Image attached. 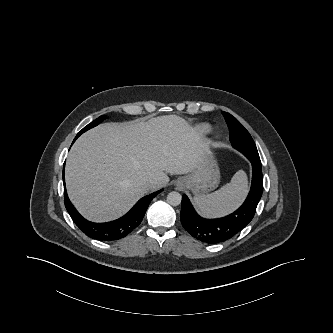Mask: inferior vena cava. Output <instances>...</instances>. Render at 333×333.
I'll use <instances>...</instances> for the list:
<instances>
[{
    "label": "inferior vena cava",
    "instance_id": "1",
    "mask_svg": "<svg viewBox=\"0 0 333 333\" xmlns=\"http://www.w3.org/2000/svg\"><path fill=\"white\" fill-rule=\"evenodd\" d=\"M148 183H149L150 185H154V184L156 183V180H154V179H150V180H148Z\"/></svg>",
    "mask_w": 333,
    "mask_h": 333
}]
</instances>
